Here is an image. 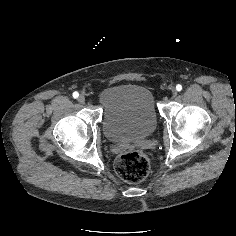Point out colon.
<instances>
[{"label": "colon", "mask_w": 236, "mask_h": 236, "mask_svg": "<svg viewBox=\"0 0 236 236\" xmlns=\"http://www.w3.org/2000/svg\"><path fill=\"white\" fill-rule=\"evenodd\" d=\"M115 170L124 181L138 183L144 180L149 173V159L145 153L140 151L126 152L116 160Z\"/></svg>", "instance_id": "colon-1"}]
</instances>
